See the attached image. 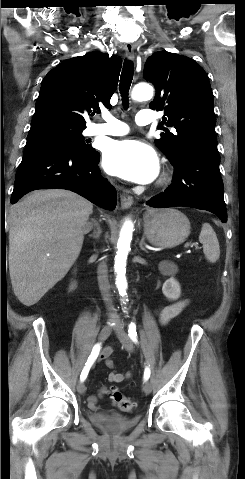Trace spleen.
<instances>
[{
  "mask_svg": "<svg viewBox=\"0 0 245 479\" xmlns=\"http://www.w3.org/2000/svg\"><path fill=\"white\" fill-rule=\"evenodd\" d=\"M199 241L203 245V252L206 259L214 263L220 257V246L213 228L209 223H204L199 235Z\"/></svg>",
  "mask_w": 245,
  "mask_h": 479,
  "instance_id": "obj_1",
  "label": "spleen"
}]
</instances>
